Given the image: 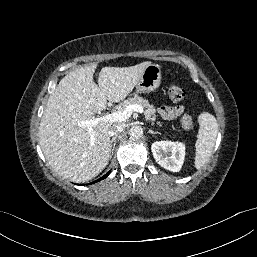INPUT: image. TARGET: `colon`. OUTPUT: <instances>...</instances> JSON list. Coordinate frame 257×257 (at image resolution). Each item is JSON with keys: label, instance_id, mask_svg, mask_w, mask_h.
Wrapping results in <instances>:
<instances>
[{"label": "colon", "instance_id": "5ec220e1", "mask_svg": "<svg viewBox=\"0 0 257 257\" xmlns=\"http://www.w3.org/2000/svg\"><path fill=\"white\" fill-rule=\"evenodd\" d=\"M167 95L171 101L178 102L184 98L185 90L179 84H171L167 88ZM181 122L185 128H191L193 126V121L188 115L183 116Z\"/></svg>", "mask_w": 257, "mask_h": 257}]
</instances>
